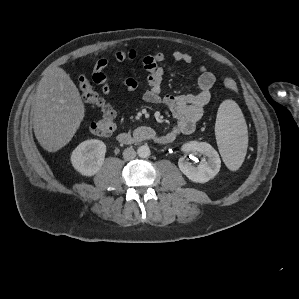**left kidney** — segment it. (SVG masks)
I'll use <instances>...</instances> for the list:
<instances>
[{"mask_svg": "<svg viewBox=\"0 0 299 299\" xmlns=\"http://www.w3.org/2000/svg\"><path fill=\"white\" fill-rule=\"evenodd\" d=\"M184 152H199L206 156L199 165L194 166L184 158H180L178 166L182 173L191 181L205 183L214 178L220 170L221 160L218 152L206 142L191 141L182 146Z\"/></svg>", "mask_w": 299, "mask_h": 299, "instance_id": "5707ae66", "label": "left kidney"}]
</instances>
